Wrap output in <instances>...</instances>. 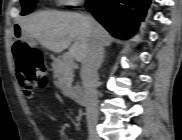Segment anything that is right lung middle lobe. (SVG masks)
Instances as JSON below:
<instances>
[{
	"label": "right lung middle lobe",
	"instance_id": "obj_1",
	"mask_svg": "<svg viewBox=\"0 0 182 140\" xmlns=\"http://www.w3.org/2000/svg\"><path fill=\"white\" fill-rule=\"evenodd\" d=\"M36 1L37 0H22L21 4H22L23 11L21 12V15H26L32 12V10L35 8ZM99 2L100 0H89L87 4L88 3L98 4Z\"/></svg>",
	"mask_w": 182,
	"mask_h": 140
}]
</instances>
